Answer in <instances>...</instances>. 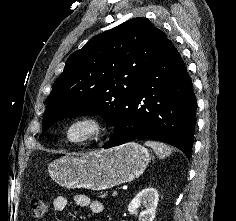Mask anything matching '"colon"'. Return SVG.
Wrapping results in <instances>:
<instances>
[{
    "mask_svg": "<svg viewBox=\"0 0 236 221\" xmlns=\"http://www.w3.org/2000/svg\"><path fill=\"white\" fill-rule=\"evenodd\" d=\"M30 209L33 217L41 218L47 210V204L44 198L35 196L30 199Z\"/></svg>",
    "mask_w": 236,
    "mask_h": 221,
    "instance_id": "5ec220e1",
    "label": "colon"
}]
</instances>
